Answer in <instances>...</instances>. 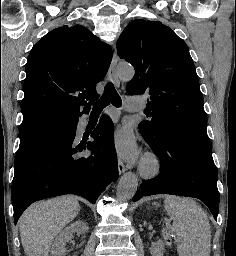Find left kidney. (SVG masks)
Segmentation results:
<instances>
[{
    "label": "left kidney",
    "instance_id": "left-kidney-1",
    "mask_svg": "<svg viewBox=\"0 0 236 256\" xmlns=\"http://www.w3.org/2000/svg\"><path fill=\"white\" fill-rule=\"evenodd\" d=\"M150 252L152 256H163L164 244L162 240H158V242H156V244L150 248Z\"/></svg>",
    "mask_w": 236,
    "mask_h": 256
}]
</instances>
